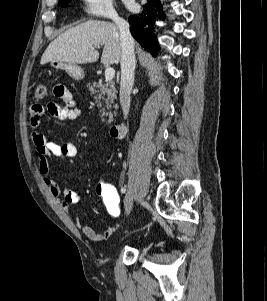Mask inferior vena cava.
<instances>
[{"instance_id":"inferior-vena-cava-1","label":"inferior vena cava","mask_w":267,"mask_h":301,"mask_svg":"<svg viewBox=\"0 0 267 301\" xmlns=\"http://www.w3.org/2000/svg\"><path fill=\"white\" fill-rule=\"evenodd\" d=\"M120 32L121 40V81H120V104L124 118H127L130 110V93L134 84L135 53L134 39L131 36L129 23L114 15L112 17Z\"/></svg>"}]
</instances>
